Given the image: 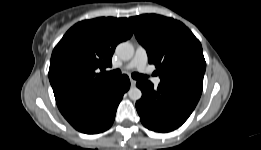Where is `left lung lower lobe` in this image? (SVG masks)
Segmentation results:
<instances>
[{"instance_id": "obj_1", "label": "left lung lower lobe", "mask_w": 261, "mask_h": 150, "mask_svg": "<svg viewBox=\"0 0 261 150\" xmlns=\"http://www.w3.org/2000/svg\"><path fill=\"white\" fill-rule=\"evenodd\" d=\"M142 97L136 109L142 124L156 132L180 127L197 105L202 88L186 82H160L155 89L150 81H138Z\"/></svg>"}]
</instances>
